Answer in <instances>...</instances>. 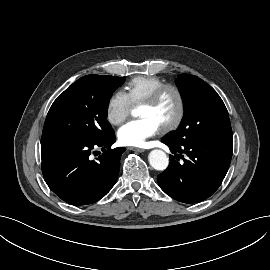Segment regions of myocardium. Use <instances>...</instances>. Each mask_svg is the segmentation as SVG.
Masks as SVG:
<instances>
[{
  "label": "myocardium",
  "mask_w": 270,
  "mask_h": 270,
  "mask_svg": "<svg viewBox=\"0 0 270 270\" xmlns=\"http://www.w3.org/2000/svg\"><path fill=\"white\" fill-rule=\"evenodd\" d=\"M168 90L173 91L177 97V112H176L174 119L170 123L161 127L162 132H169V131L177 129L184 119L185 112H186V102H185V97H184L182 90L180 89L179 86H177L175 84L165 83V84L159 86L158 88H156L142 102V104L154 105L159 101V99L162 97V95Z\"/></svg>",
  "instance_id": "1"
}]
</instances>
